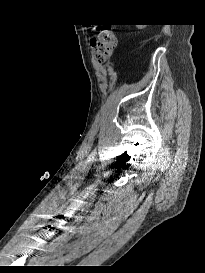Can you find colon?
Segmentation results:
<instances>
[{
	"label": "colon",
	"instance_id": "5ec220e1",
	"mask_svg": "<svg viewBox=\"0 0 205 273\" xmlns=\"http://www.w3.org/2000/svg\"><path fill=\"white\" fill-rule=\"evenodd\" d=\"M116 39L111 26L104 25L98 27L96 34L90 41V47L94 60L98 64H104L112 55Z\"/></svg>",
	"mask_w": 205,
	"mask_h": 273
}]
</instances>
